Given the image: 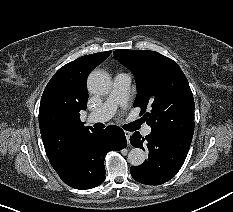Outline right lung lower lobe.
Listing matches in <instances>:
<instances>
[{
    "instance_id": "right-lung-lower-lobe-1",
    "label": "right lung lower lobe",
    "mask_w": 233,
    "mask_h": 212,
    "mask_svg": "<svg viewBox=\"0 0 233 212\" xmlns=\"http://www.w3.org/2000/svg\"><path fill=\"white\" fill-rule=\"evenodd\" d=\"M127 146L125 134L118 126L95 130L82 141L80 150L56 172L69 186L86 190L97 187L105 180L104 158L109 151Z\"/></svg>"
}]
</instances>
